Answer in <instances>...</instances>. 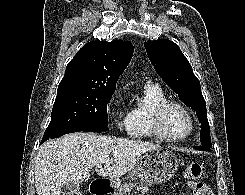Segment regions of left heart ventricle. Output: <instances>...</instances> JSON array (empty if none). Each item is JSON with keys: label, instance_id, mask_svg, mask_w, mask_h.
<instances>
[{"label": "left heart ventricle", "instance_id": "b2bd125f", "mask_svg": "<svg viewBox=\"0 0 245 195\" xmlns=\"http://www.w3.org/2000/svg\"><path fill=\"white\" fill-rule=\"evenodd\" d=\"M163 129L171 137H182L189 130L187 115L178 107H170L164 113L162 120Z\"/></svg>", "mask_w": 245, "mask_h": 195}]
</instances>
